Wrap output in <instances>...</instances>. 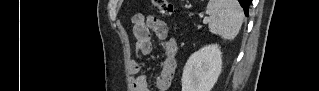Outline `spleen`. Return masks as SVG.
<instances>
[{
  "instance_id": "obj_1",
  "label": "spleen",
  "mask_w": 319,
  "mask_h": 91,
  "mask_svg": "<svg viewBox=\"0 0 319 91\" xmlns=\"http://www.w3.org/2000/svg\"><path fill=\"white\" fill-rule=\"evenodd\" d=\"M206 14L209 15V30L225 40H233L243 23V10L237 0H210Z\"/></svg>"
}]
</instances>
